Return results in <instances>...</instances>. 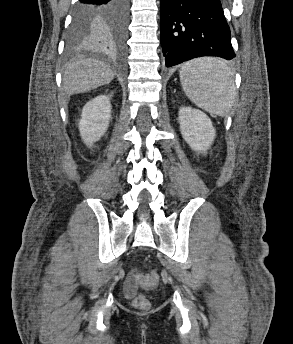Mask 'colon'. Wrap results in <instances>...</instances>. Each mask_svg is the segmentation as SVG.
<instances>
[{
	"instance_id": "1",
	"label": "colon",
	"mask_w": 293,
	"mask_h": 344,
	"mask_svg": "<svg viewBox=\"0 0 293 344\" xmlns=\"http://www.w3.org/2000/svg\"><path fill=\"white\" fill-rule=\"evenodd\" d=\"M131 278L134 280V281H139V280H143L144 277L143 275H141L140 273H132L131 274ZM146 279L149 281V282H152V283H155L157 282L158 280V276L156 273H151L149 274ZM133 305L135 308L139 309V310H147L150 306V303H149V300L148 298L146 297V295L144 294H138L135 299L133 300Z\"/></svg>"
}]
</instances>
